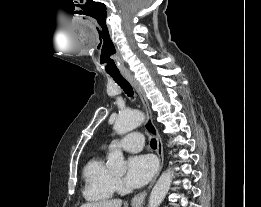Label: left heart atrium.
Segmentation results:
<instances>
[{
	"label": "left heart atrium",
	"mask_w": 261,
	"mask_h": 207,
	"mask_svg": "<svg viewBox=\"0 0 261 207\" xmlns=\"http://www.w3.org/2000/svg\"><path fill=\"white\" fill-rule=\"evenodd\" d=\"M156 162L150 155H136L129 159L125 182L130 187L146 184L156 171Z\"/></svg>",
	"instance_id": "1"
}]
</instances>
